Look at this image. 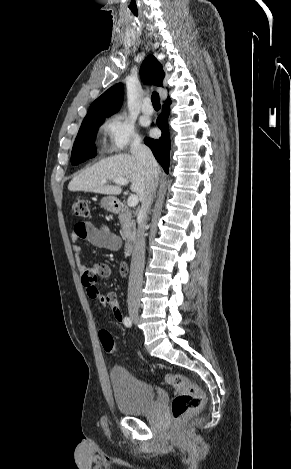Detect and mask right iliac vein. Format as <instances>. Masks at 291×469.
<instances>
[{
  "instance_id": "right-iliac-vein-1",
  "label": "right iliac vein",
  "mask_w": 291,
  "mask_h": 469,
  "mask_svg": "<svg viewBox=\"0 0 291 469\" xmlns=\"http://www.w3.org/2000/svg\"><path fill=\"white\" fill-rule=\"evenodd\" d=\"M130 318L133 320L134 323H138L139 321V314H138V307L131 305L128 308Z\"/></svg>"
}]
</instances>
